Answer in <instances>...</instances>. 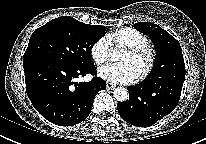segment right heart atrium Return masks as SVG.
Wrapping results in <instances>:
<instances>
[{"label": "right heart atrium", "mask_w": 206, "mask_h": 144, "mask_svg": "<svg viewBox=\"0 0 206 144\" xmlns=\"http://www.w3.org/2000/svg\"><path fill=\"white\" fill-rule=\"evenodd\" d=\"M90 54L97 65L104 64L110 54V43L107 37H100L90 47Z\"/></svg>", "instance_id": "obj_1"}]
</instances>
